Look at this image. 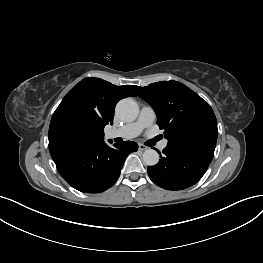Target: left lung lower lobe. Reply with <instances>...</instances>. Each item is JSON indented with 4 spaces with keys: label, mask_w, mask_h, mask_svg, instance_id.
<instances>
[{
    "label": "left lung lower lobe",
    "mask_w": 263,
    "mask_h": 263,
    "mask_svg": "<svg viewBox=\"0 0 263 263\" xmlns=\"http://www.w3.org/2000/svg\"><path fill=\"white\" fill-rule=\"evenodd\" d=\"M158 153L161 155L160 151ZM163 154L155 166H148L147 171L155 184L167 190H182L194 185L212 161L211 157L168 146Z\"/></svg>",
    "instance_id": "left-lung-lower-lobe-1"
}]
</instances>
